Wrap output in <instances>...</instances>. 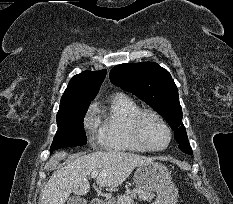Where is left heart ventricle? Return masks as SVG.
I'll list each match as a JSON object with an SVG mask.
<instances>
[{"label":"left heart ventricle","instance_id":"left-heart-ventricle-1","mask_svg":"<svg viewBox=\"0 0 233 204\" xmlns=\"http://www.w3.org/2000/svg\"><path fill=\"white\" fill-rule=\"evenodd\" d=\"M142 135L151 147H162L167 143L168 135L164 126L153 116H146L141 125Z\"/></svg>","mask_w":233,"mask_h":204}]
</instances>
